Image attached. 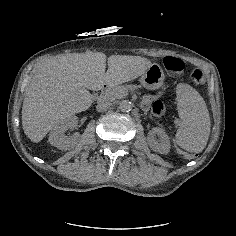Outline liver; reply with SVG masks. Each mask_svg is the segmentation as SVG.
<instances>
[{
  "instance_id": "liver-1",
  "label": "liver",
  "mask_w": 236,
  "mask_h": 236,
  "mask_svg": "<svg viewBox=\"0 0 236 236\" xmlns=\"http://www.w3.org/2000/svg\"><path fill=\"white\" fill-rule=\"evenodd\" d=\"M108 69L105 72L106 62ZM148 59L111 55L87 50L43 58L23 100L21 120L25 135L39 143L54 128L72 116L88 110L93 96L104 85L114 88L132 81L146 71Z\"/></svg>"
}]
</instances>
